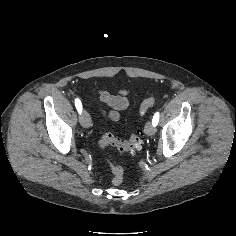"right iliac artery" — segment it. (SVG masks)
<instances>
[{"instance_id": "1", "label": "right iliac artery", "mask_w": 236, "mask_h": 236, "mask_svg": "<svg viewBox=\"0 0 236 236\" xmlns=\"http://www.w3.org/2000/svg\"><path fill=\"white\" fill-rule=\"evenodd\" d=\"M75 106H76L78 112L80 113L82 111V103L79 99H75Z\"/></svg>"}]
</instances>
